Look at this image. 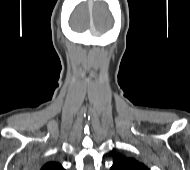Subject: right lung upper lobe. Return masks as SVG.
Segmentation results:
<instances>
[{
    "label": "right lung upper lobe",
    "mask_w": 190,
    "mask_h": 170,
    "mask_svg": "<svg viewBox=\"0 0 190 170\" xmlns=\"http://www.w3.org/2000/svg\"><path fill=\"white\" fill-rule=\"evenodd\" d=\"M41 170H65L61 164L57 162H48L46 163Z\"/></svg>",
    "instance_id": "obj_1"
}]
</instances>
